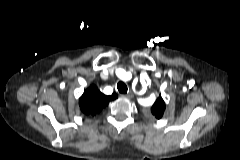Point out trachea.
I'll use <instances>...</instances> for the list:
<instances>
[{"instance_id": "obj_1", "label": "trachea", "mask_w": 240, "mask_h": 160, "mask_svg": "<svg viewBox=\"0 0 240 160\" xmlns=\"http://www.w3.org/2000/svg\"><path fill=\"white\" fill-rule=\"evenodd\" d=\"M117 89L122 94L127 93V90H128L126 84L122 81L118 82Z\"/></svg>"}]
</instances>
